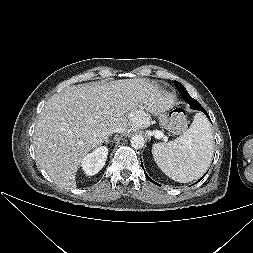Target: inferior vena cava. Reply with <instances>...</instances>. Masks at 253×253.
Here are the masks:
<instances>
[{"label": "inferior vena cava", "mask_w": 253, "mask_h": 253, "mask_svg": "<svg viewBox=\"0 0 253 253\" xmlns=\"http://www.w3.org/2000/svg\"><path fill=\"white\" fill-rule=\"evenodd\" d=\"M115 132L120 133L121 131H120L119 128H117V129H108V130L106 131L105 135H106V136H109V135H111V134H113V133H115ZM106 136H105V137H106Z\"/></svg>", "instance_id": "inferior-vena-cava-1"}]
</instances>
